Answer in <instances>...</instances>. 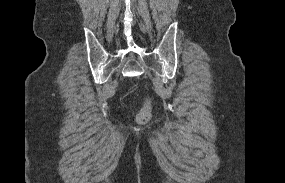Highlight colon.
Segmentation results:
<instances>
[{"instance_id": "1", "label": "colon", "mask_w": 285, "mask_h": 183, "mask_svg": "<svg viewBox=\"0 0 285 183\" xmlns=\"http://www.w3.org/2000/svg\"><path fill=\"white\" fill-rule=\"evenodd\" d=\"M151 118V106L146 104L136 115V120L138 123H147Z\"/></svg>"}]
</instances>
